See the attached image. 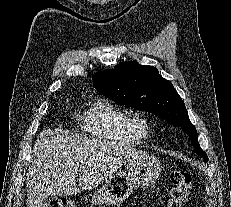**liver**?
I'll list each match as a JSON object with an SVG mask.
<instances>
[{
    "label": "liver",
    "instance_id": "6515ba94",
    "mask_svg": "<svg viewBox=\"0 0 231 207\" xmlns=\"http://www.w3.org/2000/svg\"><path fill=\"white\" fill-rule=\"evenodd\" d=\"M139 154L123 144L83 138L62 129L44 130L32 149L26 207H41L48 197L93 189Z\"/></svg>",
    "mask_w": 231,
    "mask_h": 207
}]
</instances>
